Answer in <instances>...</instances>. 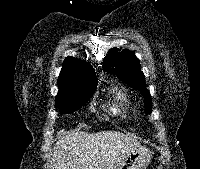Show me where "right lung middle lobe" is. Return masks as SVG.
<instances>
[{
	"label": "right lung middle lobe",
	"instance_id": "obj_1",
	"mask_svg": "<svg viewBox=\"0 0 200 169\" xmlns=\"http://www.w3.org/2000/svg\"><path fill=\"white\" fill-rule=\"evenodd\" d=\"M94 92L85 93L73 98L56 100L55 105L62 113H71L82 107Z\"/></svg>",
	"mask_w": 200,
	"mask_h": 169
}]
</instances>
